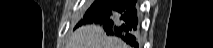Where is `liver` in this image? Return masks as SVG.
I'll return each instance as SVG.
<instances>
[{"label": "liver", "mask_w": 213, "mask_h": 48, "mask_svg": "<svg viewBox=\"0 0 213 48\" xmlns=\"http://www.w3.org/2000/svg\"><path fill=\"white\" fill-rule=\"evenodd\" d=\"M68 48H128L116 37L107 36L98 25H85L76 29L68 39Z\"/></svg>", "instance_id": "1"}]
</instances>
